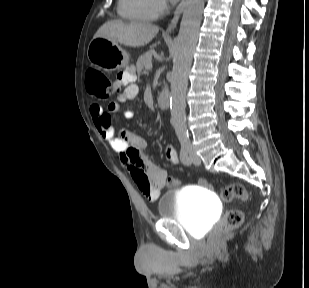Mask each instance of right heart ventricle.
I'll return each instance as SVG.
<instances>
[{
    "instance_id": "e07e8e85",
    "label": "right heart ventricle",
    "mask_w": 309,
    "mask_h": 288,
    "mask_svg": "<svg viewBox=\"0 0 309 288\" xmlns=\"http://www.w3.org/2000/svg\"><path fill=\"white\" fill-rule=\"evenodd\" d=\"M118 13L133 22H150L158 16L152 0H118Z\"/></svg>"
}]
</instances>
